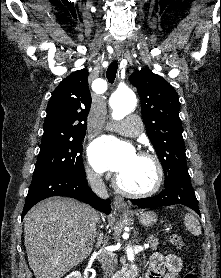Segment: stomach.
Wrapping results in <instances>:
<instances>
[{
	"label": "stomach",
	"mask_w": 221,
	"mask_h": 278,
	"mask_svg": "<svg viewBox=\"0 0 221 278\" xmlns=\"http://www.w3.org/2000/svg\"><path fill=\"white\" fill-rule=\"evenodd\" d=\"M139 222L144 226H153L157 222V215L152 212H140L137 214Z\"/></svg>",
	"instance_id": "obj_1"
}]
</instances>
